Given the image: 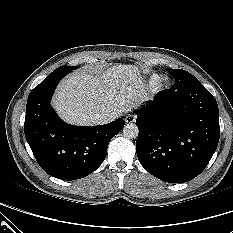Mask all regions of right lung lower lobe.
<instances>
[{
	"label": "right lung lower lobe",
	"mask_w": 233,
	"mask_h": 233,
	"mask_svg": "<svg viewBox=\"0 0 233 233\" xmlns=\"http://www.w3.org/2000/svg\"><path fill=\"white\" fill-rule=\"evenodd\" d=\"M69 71L49 75L29 94L24 132L40 167L62 180H76L104 161L110 140L124 127L123 118L99 126H72L51 108L50 99Z\"/></svg>",
	"instance_id": "right-lung-lower-lobe-1"
}]
</instances>
